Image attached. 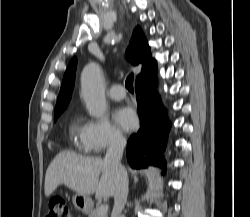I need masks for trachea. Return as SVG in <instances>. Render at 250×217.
I'll return each instance as SVG.
<instances>
[{"mask_svg": "<svg viewBox=\"0 0 250 217\" xmlns=\"http://www.w3.org/2000/svg\"><path fill=\"white\" fill-rule=\"evenodd\" d=\"M125 86L126 88L130 91V92H134V88H133V74H130L125 82Z\"/></svg>", "mask_w": 250, "mask_h": 217, "instance_id": "1", "label": "trachea"}]
</instances>
